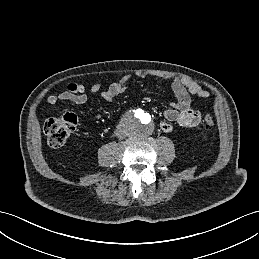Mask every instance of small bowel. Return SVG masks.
I'll use <instances>...</instances> for the list:
<instances>
[{"mask_svg": "<svg viewBox=\"0 0 259 259\" xmlns=\"http://www.w3.org/2000/svg\"><path fill=\"white\" fill-rule=\"evenodd\" d=\"M137 75L144 77L148 73L138 71ZM151 75L168 81L176 95L177 100L172 103V107L163 112L164 120L160 123V128L165 133L173 130V123L185 128H192L201 122V114L191 106L190 94L200 97H208L209 93L200 84L187 77L177 76L171 72H154ZM129 76L122 77L119 81L112 83L106 90L101 91V84L96 83L90 89V94L100 93L106 102H112L114 98L121 95L129 80ZM89 99V94L85 87L79 83H70L65 90L59 94L50 95L46 102L49 105H56L59 102H72L74 104H85Z\"/></svg>", "mask_w": 259, "mask_h": 259, "instance_id": "obj_1", "label": "small bowel"}]
</instances>
